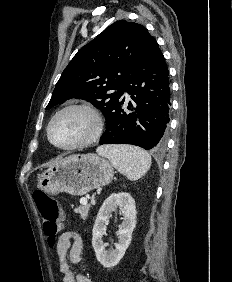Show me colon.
<instances>
[{
    "label": "colon",
    "instance_id": "5ec220e1",
    "mask_svg": "<svg viewBox=\"0 0 232 282\" xmlns=\"http://www.w3.org/2000/svg\"><path fill=\"white\" fill-rule=\"evenodd\" d=\"M33 199L42 218L43 231L48 241L53 244L61 229V214L57 202L43 191H36Z\"/></svg>",
    "mask_w": 232,
    "mask_h": 282
}]
</instances>
